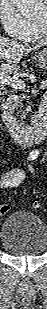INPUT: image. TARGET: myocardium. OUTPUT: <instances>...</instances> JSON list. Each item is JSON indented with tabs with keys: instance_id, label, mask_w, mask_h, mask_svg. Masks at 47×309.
Wrapping results in <instances>:
<instances>
[{
	"instance_id": "f54148a6",
	"label": "myocardium",
	"mask_w": 47,
	"mask_h": 309,
	"mask_svg": "<svg viewBox=\"0 0 47 309\" xmlns=\"http://www.w3.org/2000/svg\"><path fill=\"white\" fill-rule=\"evenodd\" d=\"M33 25L38 33V35L42 38L44 37V34H45V31H46V27H47V17H46V20H45V24L42 25L38 22H33Z\"/></svg>"
}]
</instances>
